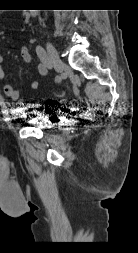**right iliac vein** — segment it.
<instances>
[{
  "label": "right iliac vein",
  "instance_id": "63e3f726",
  "mask_svg": "<svg viewBox=\"0 0 138 253\" xmlns=\"http://www.w3.org/2000/svg\"><path fill=\"white\" fill-rule=\"evenodd\" d=\"M46 49L56 72L61 73L64 63L59 57L58 51L51 42L46 43Z\"/></svg>",
  "mask_w": 138,
  "mask_h": 253
}]
</instances>
